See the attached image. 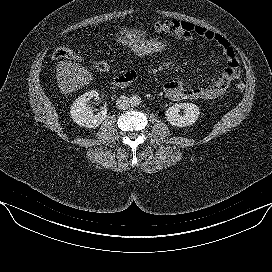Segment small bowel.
I'll return each mask as SVG.
<instances>
[{
	"mask_svg": "<svg viewBox=\"0 0 272 272\" xmlns=\"http://www.w3.org/2000/svg\"><path fill=\"white\" fill-rule=\"evenodd\" d=\"M156 35L169 34L176 41L189 44L194 36H199L207 41L217 44L226 63L225 68L206 85L194 87L182 80H171L163 84L165 95L174 101L180 100H215L227 91L230 83L240 75L239 62L231 43L224 36L202 25L182 20L159 21L154 25ZM118 34L127 37H148V31L144 28L122 27ZM125 75L135 78L136 73L129 71Z\"/></svg>",
	"mask_w": 272,
	"mask_h": 272,
	"instance_id": "obj_1",
	"label": "small bowel"
}]
</instances>
